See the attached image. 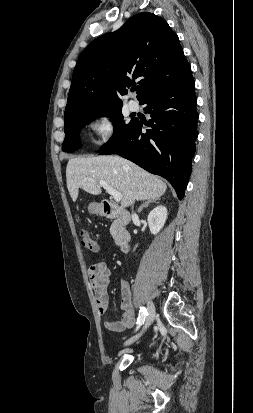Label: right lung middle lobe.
I'll use <instances>...</instances> for the list:
<instances>
[{
  "mask_svg": "<svg viewBox=\"0 0 253 413\" xmlns=\"http://www.w3.org/2000/svg\"><path fill=\"white\" fill-rule=\"evenodd\" d=\"M121 110L122 107H114L103 110L87 111L70 118L64 124L65 139L62 145V150L65 152H74L79 149L81 147L79 138L80 130L97 117L107 116L112 119L114 125L113 136L101 147V149L116 141L134 122V120H131L129 124H125Z\"/></svg>",
  "mask_w": 253,
  "mask_h": 413,
  "instance_id": "obj_1",
  "label": "right lung middle lobe"
}]
</instances>
